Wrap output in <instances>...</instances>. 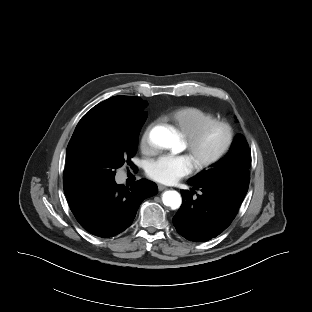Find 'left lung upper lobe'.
Wrapping results in <instances>:
<instances>
[{
	"mask_svg": "<svg viewBox=\"0 0 312 312\" xmlns=\"http://www.w3.org/2000/svg\"><path fill=\"white\" fill-rule=\"evenodd\" d=\"M251 151L243 135L237 134L228 154L210 169L197 174L189 181L222 186L238 200L243 201L250 181Z\"/></svg>",
	"mask_w": 312,
	"mask_h": 312,
	"instance_id": "1",
	"label": "left lung upper lobe"
}]
</instances>
